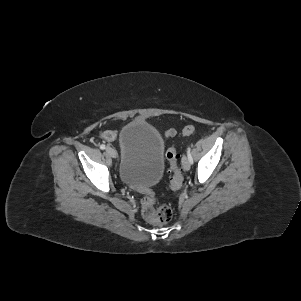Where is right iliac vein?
I'll return each instance as SVG.
<instances>
[{
    "label": "right iliac vein",
    "mask_w": 301,
    "mask_h": 301,
    "mask_svg": "<svg viewBox=\"0 0 301 301\" xmlns=\"http://www.w3.org/2000/svg\"><path fill=\"white\" fill-rule=\"evenodd\" d=\"M106 153L111 156L112 158H117V152L114 148L112 147H107L106 148Z\"/></svg>",
    "instance_id": "obj_1"
}]
</instances>
